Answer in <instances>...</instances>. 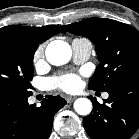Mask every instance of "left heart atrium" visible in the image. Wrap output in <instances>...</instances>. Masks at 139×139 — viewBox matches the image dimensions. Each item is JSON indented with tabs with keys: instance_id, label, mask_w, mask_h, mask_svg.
<instances>
[{
	"instance_id": "1",
	"label": "left heart atrium",
	"mask_w": 139,
	"mask_h": 139,
	"mask_svg": "<svg viewBox=\"0 0 139 139\" xmlns=\"http://www.w3.org/2000/svg\"><path fill=\"white\" fill-rule=\"evenodd\" d=\"M50 87L60 89L66 92H74L81 86V78L77 74H63L50 79Z\"/></svg>"
}]
</instances>
